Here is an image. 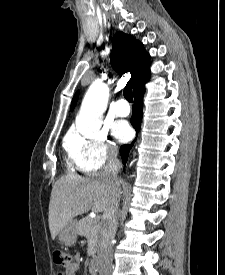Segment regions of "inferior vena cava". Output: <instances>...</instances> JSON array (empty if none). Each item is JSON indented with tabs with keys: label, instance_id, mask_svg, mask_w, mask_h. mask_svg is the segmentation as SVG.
<instances>
[{
	"label": "inferior vena cava",
	"instance_id": "inferior-vena-cava-1",
	"mask_svg": "<svg viewBox=\"0 0 225 275\" xmlns=\"http://www.w3.org/2000/svg\"><path fill=\"white\" fill-rule=\"evenodd\" d=\"M120 163L117 153L111 149L108 151L107 162L100 175L108 187V201L102 217L100 242L98 246V261L100 275H110L112 269V240L117 229V213L120 201V182L118 171Z\"/></svg>",
	"mask_w": 225,
	"mask_h": 275
}]
</instances>
